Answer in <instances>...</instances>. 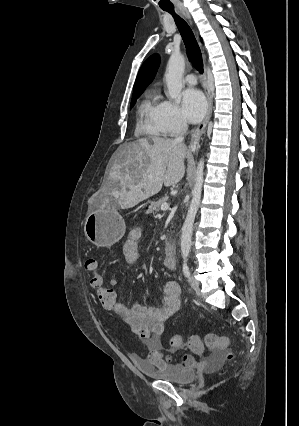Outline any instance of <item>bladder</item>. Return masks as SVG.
I'll return each mask as SVG.
<instances>
[{
  "mask_svg": "<svg viewBox=\"0 0 299 426\" xmlns=\"http://www.w3.org/2000/svg\"><path fill=\"white\" fill-rule=\"evenodd\" d=\"M142 372L153 379L167 381L176 385L185 386L196 378L194 368L185 366L155 367L142 360L136 359Z\"/></svg>",
  "mask_w": 299,
  "mask_h": 426,
  "instance_id": "1",
  "label": "bladder"
}]
</instances>
